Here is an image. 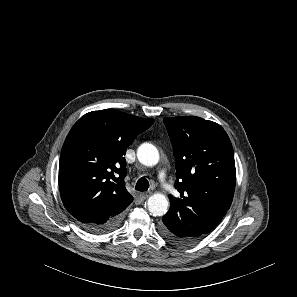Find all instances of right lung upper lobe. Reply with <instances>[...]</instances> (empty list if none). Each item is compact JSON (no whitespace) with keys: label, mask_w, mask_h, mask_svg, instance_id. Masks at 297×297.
<instances>
[{"label":"right lung upper lobe","mask_w":297,"mask_h":297,"mask_svg":"<svg viewBox=\"0 0 297 297\" xmlns=\"http://www.w3.org/2000/svg\"><path fill=\"white\" fill-rule=\"evenodd\" d=\"M154 119L115 110L93 111L70 130L60 156L64 206L83 227L104 223L133 201L125 188L126 149Z\"/></svg>","instance_id":"cb5924a9"}]
</instances>
